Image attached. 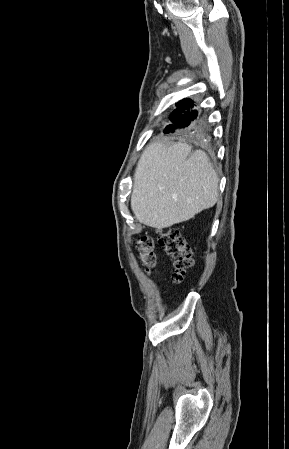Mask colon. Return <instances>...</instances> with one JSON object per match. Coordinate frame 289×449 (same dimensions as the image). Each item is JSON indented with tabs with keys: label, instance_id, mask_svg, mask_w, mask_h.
Masks as SVG:
<instances>
[{
	"label": "colon",
	"instance_id": "colon-1",
	"mask_svg": "<svg viewBox=\"0 0 289 449\" xmlns=\"http://www.w3.org/2000/svg\"><path fill=\"white\" fill-rule=\"evenodd\" d=\"M158 241L164 252L173 262L174 281L180 282L188 269L193 265V258L189 246L176 228H168L160 231ZM137 249L141 263L146 270L150 271L156 264L153 239L148 235L142 236L137 241Z\"/></svg>",
	"mask_w": 289,
	"mask_h": 449
}]
</instances>
